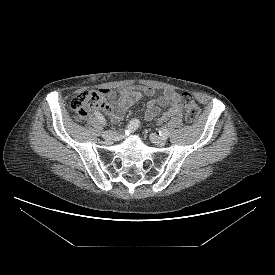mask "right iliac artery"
<instances>
[{
  "instance_id": "obj_1",
  "label": "right iliac artery",
  "mask_w": 275,
  "mask_h": 275,
  "mask_svg": "<svg viewBox=\"0 0 275 275\" xmlns=\"http://www.w3.org/2000/svg\"><path fill=\"white\" fill-rule=\"evenodd\" d=\"M94 114L103 125H106V120L101 113L95 112ZM139 124L140 122L138 119L131 120L125 130V133L129 135L130 133L134 132L139 127Z\"/></svg>"
}]
</instances>
